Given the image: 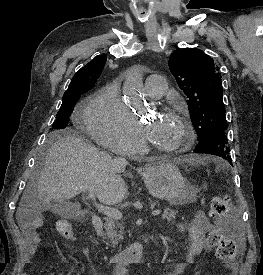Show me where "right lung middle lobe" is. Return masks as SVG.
Masks as SVG:
<instances>
[{"label": "right lung middle lobe", "mask_w": 263, "mask_h": 275, "mask_svg": "<svg viewBox=\"0 0 263 275\" xmlns=\"http://www.w3.org/2000/svg\"><path fill=\"white\" fill-rule=\"evenodd\" d=\"M88 89L76 90L63 95L61 107L56 115V121L53 124L54 129H64L70 120L74 106L80 98L81 94L87 92Z\"/></svg>", "instance_id": "1"}]
</instances>
